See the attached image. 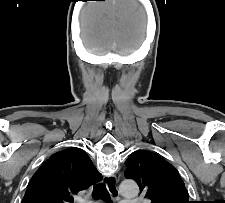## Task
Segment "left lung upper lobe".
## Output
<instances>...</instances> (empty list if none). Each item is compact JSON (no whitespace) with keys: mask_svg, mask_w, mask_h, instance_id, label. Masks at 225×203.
Returning a JSON list of instances; mask_svg holds the SVG:
<instances>
[{"mask_svg":"<svg viewBox=\"0 0 225 203\" xmlns=\"http://www.w3.org/2000/svg\"><path fill=\"white\" fill-rule=\"evenodd\" d=\"M125 163V177L134 179L151 203H191L178 171L157 154L138 150Z\"/></svg>","mask_w":225,"mask_h":203,"instance_id":"5c2ea615","label":"left lung upper lobe"}]
</instances>
